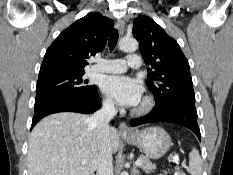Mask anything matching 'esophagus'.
<instances>
[{
    "label": "esophagus",
    "mask_w": 233,
    "mask_h": 175,
    "mask_svg": "<svg viewBox=\"0 0 233 175\" xmlns=\"http://www.w3.org/2000/svg\"><path fill=\"white\" fill-rule=\"evenodd\" d=\"M116 27L119 33L122 35L125 30V23L122 19H119L116 23ZM119 133L121 135H130L132 133L131 129L127 126L125 122H121L119 125Z\"/></svg>",
    "instance_id": "1"
}]
</instances>
